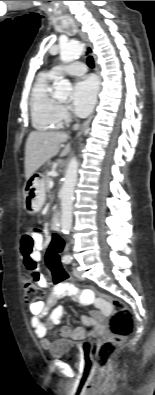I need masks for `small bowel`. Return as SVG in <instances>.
<instances>
[{"mask_svg":"<svg viewBox=\"0 0 155 395\" xmlns=\"http://www.w3.org/2000/svg\"><path fill=\"white\" fill-rule=\"evenodd\" d=\"M42 244L40 233L32 231L22 237L20 251L29 274L37 279L42 288H49L50 284L42 274L38 265L41 257L40 249ZM65 295L77 297L79 302L83 305L97 303L96 309L97 311H102L103 315H112L113 313V304H110L109 300H105L103 296H94L93 291L90 289L79 290L75 283H64L63 288H56L53 284L46 302L38 301L29 306V310L32 314L30 324L44 349H48L52 345L51 341L47 338L48 331L55 325H58L62 320L63 308L57 305V302ZM48 313V319L43 321V317ZM82 322L86 326L93 327L94 334L103 332V326L100 320L95 316H85L82 318ZM60 336L63 338L82 340L86 337V331L81 327L72 329L69 326H64L60 330Z\"/></svg>","mask_w":155,"mask_h":395,"instance_id":"small-bowel-1","label":"small bowel"}]
</instances>
